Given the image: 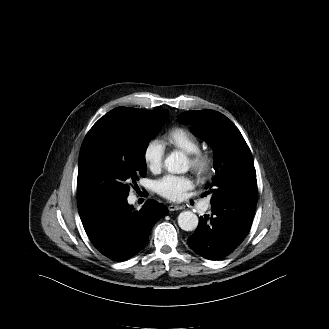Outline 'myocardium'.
<instances>
[{
  "label": "myocardium",
  "mask_w": 329,
  "mask_h": 329,
  "mask_svg": "<svg viewBox=\"0 0 329 329\" xmlns=\"http://www.w3.org/2000/svg\"><path fill=\"white\" fill-rule=\"evenodd\" d=\"M191 169L200 177L207 176L213 169L215 160L208 151L197 150L188 153Z\"/></svg>",
  "instance_id": "myocardium-1"
}]
</instances>
